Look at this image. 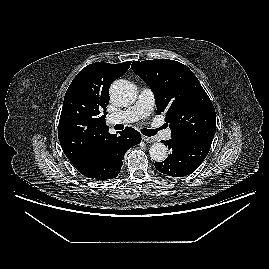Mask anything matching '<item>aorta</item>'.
Segmentation results:
<instances>
[{"instance_id":"obj_1","label":"aorta","mask_w":269,"mask_h":269,"mask_svg":"<svg viewBox=\"0 0 269 269\" xmlns=\"http://www.w3.org/2000/svg\"><path fill=\"white\" fill-rule=\"evenodd\" d=\"M110 98L118 106H128L135 101L136 89L127 80H116L111 85ZM149 154L152 160L162 162L168 156V148L163 143H154L150 147Z\"/></svg>"}]
</instances>
